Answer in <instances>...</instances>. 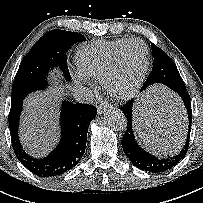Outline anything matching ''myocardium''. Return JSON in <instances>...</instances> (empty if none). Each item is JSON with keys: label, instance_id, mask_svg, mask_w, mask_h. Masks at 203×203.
<instances>
[{"label": "myocardium", "instance_id": "1", "mask_svg": "<svg viewBox=\"0 0 203 203\" xmlns=\"http://www.w3.org/2000/svg\"><path fill=\"white\" fill-rule=\"evenodd\" d=\"M132 43H139L143 46L145 51V60L143 67L141 71L139 72L138 76L136 77L133 84L125 91L123 92H117L114 87V79L117 75L118 69L121 65L123 55L127 49V47ZM149 59H150V52L149 48L146 45V43L139 39V38H131L129 39L117 52L115 58L113 59L112 63L108 67L107 71L105 72L103 78H102V86L105 90V92L110 96L112 99L117 101H128L131 98H133L139 89L141 88L144 79L146 77L148 67H149Z\"/></svg>", "mask_w": 203, "mask_h": 203}]
</instances>
